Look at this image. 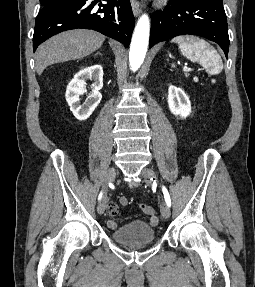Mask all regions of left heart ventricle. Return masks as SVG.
<instances>
[{
  "mask_svg": "<svg viewBox=\"0 0 255 287\" xmlns=\"http://www.w3.org/2000/svg\"><path fill=\"white\" fill-rule=\"evenodd\" d=\"M138 48H163V47H138Z\"/></svg>",
  "mask_w": 255,
  "mask_h": 287,
  "instance_id": "b2bd125f",
  "label": "left heart ventricle"
}]
</instances>
